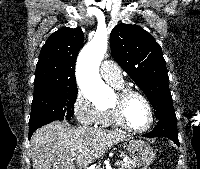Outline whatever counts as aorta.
Segmentation results:
<instances>
[{
	"label": "aorta",
	"mask_w": 200,
	"mask_h": 169,
	"mask_svg": "<svg viewBox=\"0 0 200 169\" xmlns=\"http://www.w3.org/2000/svg\"><path fill=\"white\" fill-rule=\"evenodd\" d=\"M107 37L95 35L93 39L81 50L76 74L82 92L93 102L106 99L110 88L102 81L99 75V66L107 51Z\"/></svg>",
	"instance_id": "1"
}]
</instances>
